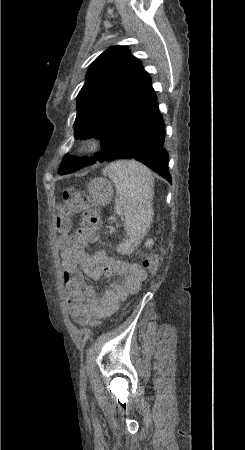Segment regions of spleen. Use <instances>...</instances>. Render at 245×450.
<instances>
[{
	"instance_id": "1",
	"label": "spleen",
	"mask_w": 245,
	"mask_h": 450,
	"mask_svg": "<svg viewBox=\"0 0 245 450\" xmlns=\"http://www.w3.org/2000/svg\"><path fill=\"white\" fill-rule=\"evenodd\" d=\"M114 182L116 199L114 211L124 215L127 239L119 244L117 251L130 254L141 242L153 218V177L150 170L137 161H117L103 170Z\"/></svg>"
}]
</instances>
